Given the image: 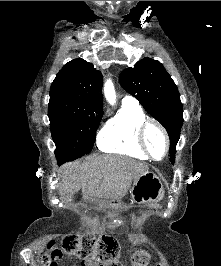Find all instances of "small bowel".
<instances>
[{
  "label": "small bowel",
  "mask_w": 221,
  "mask_h": 266,
  "mask_svg": "<svg viewBox=\"0 0 221 266\" xmlns=\"http://www.w3.org/2000/svg\"><path fill=\"white\" fill-rule=\"evenodd\" d=\"M52 250L53 251H64L65 247L64 246H53ZM63 256H69V253H63ZM52 257H60V252H52ZM58 261H60V258H51V262L48 263V266H61V264ZM80 266H100V265L95 261H86V262L81 263ZM156 266H162V265L159 264Z\"/></svg>",
  "instance_id": "small-bowel-1"
}]
</instances>
